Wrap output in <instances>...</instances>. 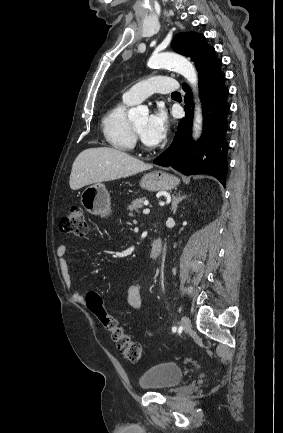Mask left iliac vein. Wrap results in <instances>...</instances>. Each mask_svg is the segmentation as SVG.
<instances>
[{
  "label": "left iliac vein",
  "instance_id": "4c4485c4",
  "mask_svg": "<svg viewBox=\"0 0 283 433\" xmlns=\"http://www.w3.org/2000/svg\"><path fill=\"white\" fill-rule=\"evenodd\" d=\"M181 325H182L183 330L185 332H188L190 330V328H191L190 319L188 317H186V316H182V318H181Z\"/></svg>",
  "mask_w": 283,
  "mask_h": 433
}]
</instances>
